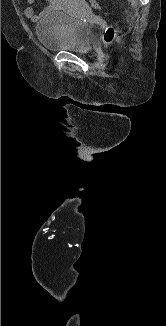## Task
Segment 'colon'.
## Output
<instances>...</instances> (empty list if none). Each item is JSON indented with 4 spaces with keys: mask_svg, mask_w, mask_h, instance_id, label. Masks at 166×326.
Wrapping results in <instances>:
<instances>
[{
    "mask_svg": "<svg viewBox=\"0 0 166 326\" xmlns=\"http://www.w3.org/2000/svg\"><path fill=\"white\" fill-rule=\"evenodd\" d=\"M91 7L97 8L98 7V2L96 0H90ZM115 36V30L113 27H108L104 34V41L105 43H110L113 41Z\"/></svg>",
    "mask_w": 166,
    "mask_h": 326,
    "instance_id": "1",
    "label": "colon"
}]
</instances>
